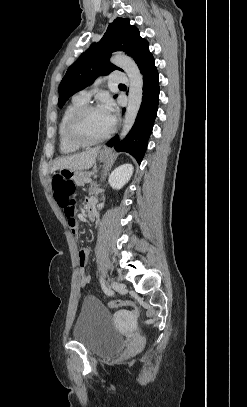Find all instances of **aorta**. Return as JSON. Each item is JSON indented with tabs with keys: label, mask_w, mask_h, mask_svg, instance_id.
<instances>
[{
	"label": "aorta",
	"mask_w": 247,
	"mask_h": 407,
	"mask_svg": "<svg viewBox=\"0 0 247 407\" xmlns=\"http://www.w3.org/2000/svg\"><path fill=\"white\" fill-rule=\"evenodd\" d=\"M111 62L122 68L129 78L128 105L124 117L123 130L120 134L122 140L133 126L143 97V77L134 60L124 54L112 56Z\"/></svg>",
	"instance_id": "1"
}]
</instances>
